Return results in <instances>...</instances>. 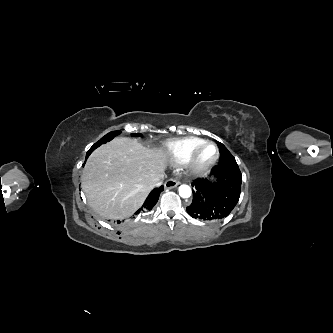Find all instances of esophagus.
<instances>
[{"label": "esophagus", "mask_w": 333, "mask_h": 333, "mask_svg": "<svg viewBox=\"0 0 333 333\" xmlns=\"http://www.w3.org/2000/svg\"><path fill=\"white\" fill-rule=\"evenodd\" d=\"M179 184H180V181L171 178V179H168V180L165 182L164 187H165L166 189H172V188L177 187Z\"/></svg>", "instance_id": "1"}]
</instances>
